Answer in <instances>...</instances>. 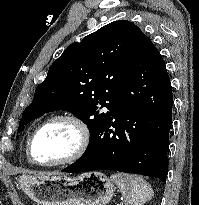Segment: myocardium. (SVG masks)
<instances>
[{"instance_id":"1","label":"myocardium","mask_w":199,"mask_h":205,"mask_svg":"<svg viewBox=\"0 0 199 205\" xmlns=\"http://www.w3.org/2000/svg\"><path fill=\"white\" fill-rule=\"evenodd\" d=\"M55 122H66L71 124L77 132V143L70 154H68L64 158L52 162H39L34 158L33 155L35 138L45 127ZM90 143L91 130L88 124L78 115L72 113H62L48 118L33 131L27 143V155L32 163L43 167L65 165L78 160L87 151Z\"/></svg>"}]
</instances>
